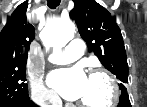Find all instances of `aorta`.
<instances>
[{
  "label": "aorta",
  "mask_w": 147,
  "mask_h": 107,
  "mask_svg": "<svg viewBox=\"0 0 147 107\" xmlns=\"http://www.w3.org/2000/svg\"><path fill=\"white\" fill-rule=\"evenodd\" d=\"M75 24L70 21H49L41 32V39L46 49L61 48L73 39Z\"/></svg>",
  "instance_id": "aorta-1"
}]
</instances>
